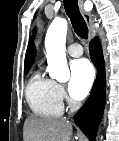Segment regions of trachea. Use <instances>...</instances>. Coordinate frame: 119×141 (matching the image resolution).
Segmentation results:
<instances>
[{
	"mask_svg": "<svg viewBox=\"0 0 119 141\" xmlns=\"http://www.w3.org/2000/svg\"><path fill=\"white\" fill-rule=\"evenodd\" d=\"M65 11L70 18L73 29L81 38H88V27L84 18L82 17L77 0H64Z\"/></svg>",
	"mask_w": 119,
	"mask_h": 141,
	"instance_id": "obj_1",
	"label": "trachea"
}]
</instances>
